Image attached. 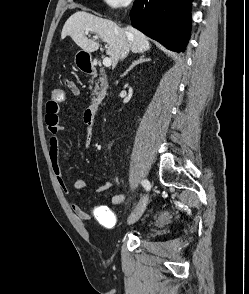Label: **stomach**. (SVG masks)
Returning a JSON list of instances; mask_svg holds the SVG:
<instances>
[{"instance_id":"stomach-1","label":"stomach","mask_w":249,"mask_h":294,"mask_svg":"<svg viewBox=\"0 0 249 294\" xmlns=\"http://www.w3.org/2000/svg\"><path fill=\"white\" fill-rule=\"evenodd\" d=\"M86 55L89 57V54H88V53H85V54H84V53H80V52H79V53L77 54L76 63H77V64L79 63V60H78L79 57H81V58H82V57H86Z\"/></svg>"}]
</instances>
